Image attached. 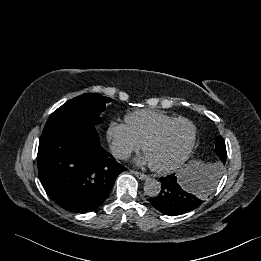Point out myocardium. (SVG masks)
<instances>
[{"label":"myocardium","instance_id":"f54148a6","mask_svg":"<svg viewBox=\"0 0 261 261\" xmlns=\"http://www.w3.org/2000/svg\"><path fill=\"white\" fill-rule=\"evenodd\" d=\"M179 122H185L191 126L192 136H191L190 143H189L186 151L184 152V154L173 164L168 165V166H163V167L154 166V165L150 164L151 169L159 174L171 173V172L175 171L176 169H178L180 166H182L189 159V157L191 156V154L194 150L196 140H197L196 125L190 119L185 118V117L174 118L170 121L165 122L160 127H158L151 135H149L146 138V140L142 144L143 152L146 154V150L149 145L156 142L169 127H171L172 125L179 123Z\"/></svg>","mask_w":261,"mask_h":261}]
</instances>
